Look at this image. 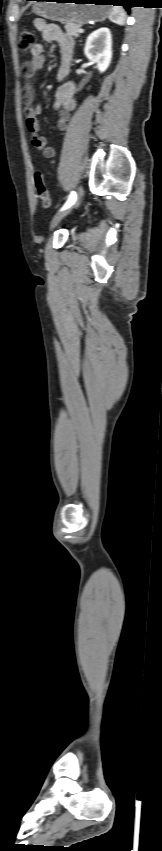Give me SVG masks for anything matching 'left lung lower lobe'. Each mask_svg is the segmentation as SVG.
<instances>
[{"label":"left lung lower lobe","instance_id":"1","mask_svg":"<svg viewBox=\"0 0 162 851\" xmlns=\"http://www.w3.org/2000/svg\"><path fill=\"white\" fill-rule=\"evenodd\" d=\"M37 1H39V0H37ZM43 1H45V0H43ZM101 1H102V3H110V4H113V5H121V6L125 7V9L127 11L129 10V7L131 6L129 4L128 0H101Z\"/></svg>","mask_w":162,"mask_h":851}]
</instances>
